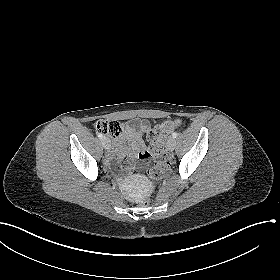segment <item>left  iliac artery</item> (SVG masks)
<instances>
[{
    "mask_svg": "<svg viewBox=\"0 0 280 280\" xmlns=\"http://www.w3.org/2000/svg\"><path fill=\"white\" fill-rule=\"evenodd\" d=\"M178 136V133H176V132H174L173 134H172V137L173 138H176Z\"/></svg>",
    "mask_w": 280,
    "mask_h": 280,
    "instance_id": "44dca946",
    "label": "left iliac artery"
}]
</instances>
